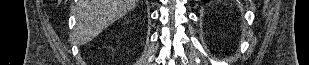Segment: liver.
Instances as JSON below:
<instances>
[{
    "instance_id": "6515ba94",
    "label": "liver",
    "mask_w": 309,
    "mask_h": 65,
    "mask_svg": "<svg viewBox=\"0 0 309 65\" xmlns=\"http://www.w3.org/2000/svg\"><path fill=\"white\" fill-rule=\"evenodd\" d=\"M138 0H79L75 35L79 45L93 40L109 25L134 9Z\"/></svg>"
}]
</instances>
